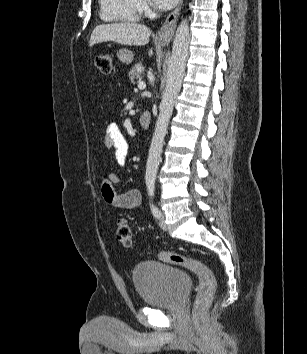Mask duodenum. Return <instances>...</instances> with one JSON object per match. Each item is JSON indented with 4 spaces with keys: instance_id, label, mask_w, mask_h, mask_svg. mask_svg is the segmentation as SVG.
Returning a JSON list of instances; mask_svg holds the SVG:
<instances>
[{
    "instance_id": "1",
    "label": "duodenum",
    "mask_w": 307,
    "mask_h": 354,
    "mask_svg": "<svg viewBox=\"0 0 307 354\" xmlns=\"http://www.w3.org/2000/svg\"><path fill=\"white\" fill-rule=\"evenodd\" d=\"M152 116L149 112H143L139 118V123L142 128L147 129L151 124Z\"/></svg>"
}]
</instances>
